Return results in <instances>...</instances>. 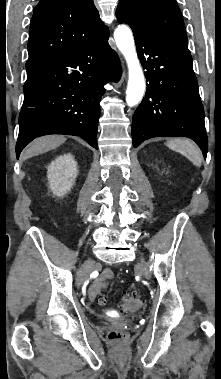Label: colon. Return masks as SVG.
I'll return each instance as SVG.
<instances>
[{
  "mask_svg": "<svg viewBox=\"0 0 221 379\" xmlns=\"http://www.w3.org/2000/svg\"><path fill=\"white\" fill-rule=\"evenodd\" d=\"M143 300V297L137 293H126L120 303L121 311L125 313L136 311L142 305ZM97 301L101 305L105 304L106 296L100 294ZM108 338L114 342H123L128 338V334L123 330L114 329L108 333Z\"/></svg>",
  "mask_w": 221,
  "mask_h": 379,
  "instance_id": "colon-1",
  "label": "colon"
}]
</instances>
